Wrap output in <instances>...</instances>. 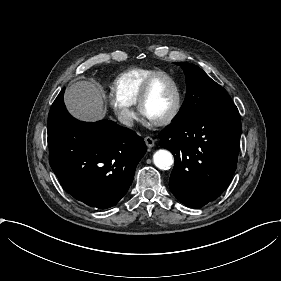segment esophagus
I'll return each instance as SVG.
<instances>
[{"label":"esophagus","instance_id":"esophagus-1","mask_svg":"<svg viewBox=\"0 0 281 281\" xmlns=\"http://www.w3.org/2000/svg\"><path fill=\"white\" fill-rule=\"evenodd\" d=\"M144 142L148 148H152L155 145V141L149 136L144 138Z\"/></svg>","mask_w":281,"mask_h":281}]
</instances>
